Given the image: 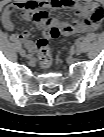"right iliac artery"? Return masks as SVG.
Segmentation results:
<instances>
[{
	"instance_id": "right-iliac-artery-1",
	"label": "right iliac artery",
	"mask_w": 104,
	"mask_h": 137,
	"mask_svg": "<svg viewBox=\"0 0 104 137\" xmlns=\"http://www.w3.org/2000/svg\"><path fill=\"white\" fill-rule=\"evenodd\" d=\"M19 46H20L22 49H25V46L23 45L22 42H19Z\"/></svg>"
}]
</instances>
